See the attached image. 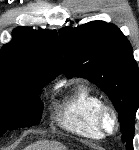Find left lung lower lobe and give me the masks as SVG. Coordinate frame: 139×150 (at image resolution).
Returning <instances> with one entry per match:
<instances>
[{
	"instance_id": "1",
	"label": "left lung lower lobe",
	"mask_w": 139,
	"mask_h": 150,
	"mask_svg": "<svg viewBox=\"0 0 139 150\" xmlns=\"http://www.w3.org/2000/svg\"><path fill=\"white\" fill-rule=\"evenodd\" d=\"M133 149V147H130L128 150H132Z\"/></svg>"
}]
</instances>
